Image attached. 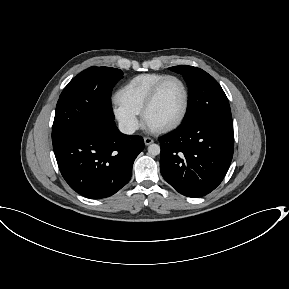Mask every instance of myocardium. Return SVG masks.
Segmentation results:
<instances>
[{
  "label": "myocardium",
  "instance_id": "1",
  "mask_svg": "<svg viewBox=\"0 0 289 289\" xmlns=\"http://www.w3.org/2000/svg\"><path fill=\"white\" fill-rule=\"evenodd\" d=\"M170 80H176L178 81L183 90H184V105H183V109H182V112L181 114L179 115V117L173 121L172 123L170 124H167L165 126H162V127H159V128H154L153 130L156 131V132H168V131H171V130H174L176 129L177 127H179L183 121L185 120L186 116H187V113H188V110H189V106H190V91H189V88H188V85L186 84V82L179 76H176V75H167L166 77H164L163 79H161L159 82H157L153 88L151 89V91L149 92L144 104H143V107H142V110H141V117H142V120L143 122L147 124V115H148V112L149 110L151 109V107L153 106L161 88L163 87V85L170 81Z\"/></svg>",
  "mask_w": 289,
  "mask_h": 289
}]
</instances>
